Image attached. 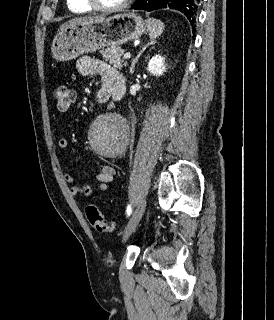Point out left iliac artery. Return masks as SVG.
Returning <instances> with one entry per match:
<instances>
[{"label": "left iliac artery", "mask_w": 274, "mask_h": 320, "mask_svg": "<svg viewBox=\"0 0 274 320\" xmlns=\"http://www.w3.org/2000/svg\"><path fill=\"white\" fill-rule=\"evenodd\" d=\"M131 212H132L131 205H128L126 210L127 216H130Z\"/></svg>", "instance_id": "obj_1"}]
</instances>
